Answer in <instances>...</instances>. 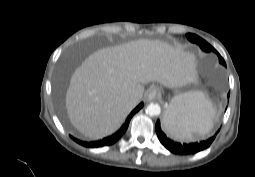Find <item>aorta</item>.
Returning a JSON list of instances; mask_svg holds the SVG:
<instances>
[{
    "label": "aorta",
    "instance_id": "762f6f07",
    "mask_svg": "<svg viewBox=\"0 0 255 177\" xmlns=\"http://www.w3.org/2000/svg\"><path fill=\"white\" fill-rule=\"evenodd\" d=\"M146 113L150 116H158L161 113V108L158 104L151 103L147 106Z\"/></svg>",
    "mask_w": 255,
    "mask_h": 177
}]
</instances>
